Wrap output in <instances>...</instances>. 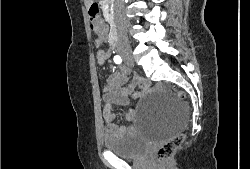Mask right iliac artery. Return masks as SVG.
Here are the masks:
<instances>
[{
  "mask_svg": "<svg viewBox=\"0 0 250 169\" xmlns=\"http://www.w3.org/2000/svg\"><path fill=\"white\" fill-rule=\"evenodd\" d=\"M114 62L116 63V64H120L121 62H122V59H121V57L120 56H118V55H116V56H114Z\"/></svg>",
  "mask_w": 250,
  "mask_h": 169,
  "instance_id": "right-iliac-artery-1",
  "label": "right iliac artery"
}]
</instances>
